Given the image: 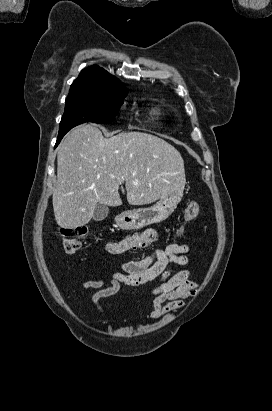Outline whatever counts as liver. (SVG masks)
Here are the masks:
<instances>
[{"mask_svg": "<svg viewBox=\"0 0 272 411\" xmlns=\"http://www.w3.org/2000/svg\"><path fill=\"white\" fill-rule=\"evenodd\" d=\"M125 183L130 205L150 204L185 186L181 154L165 140L142 132L105 138L94 125H81L61 141L57 183L53 192L55 220L61 228L86 225L98 203L120 206Z\"/></svg>", "mask_w": 272, "mask_h": 411, "instance_id": "1", "label": "liver"}]
</instances>
